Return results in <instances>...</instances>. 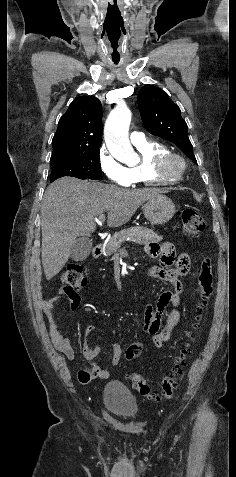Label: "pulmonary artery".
<instances>
[{
	"label": "pulmonary artery",
	"instance_id": "e3ab8cb5",
	"mask_svg": "<svg viewBox=\"0 0 236 477\" xmlns=\"http://www.w3.org/2000/svg\"><path fill=\"white\" fill-rule=\"evenodd\" d=\"M130 140L133 145L140 144L145 141V134L140 131H133L130 134Z\"/></svg>",
	"mask_w": 236,
	"mask_h": 477
}]
</instances>
